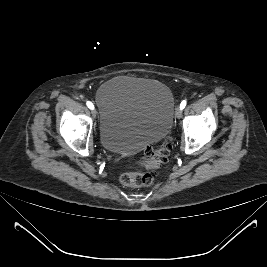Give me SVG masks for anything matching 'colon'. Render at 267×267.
<instances>
[{
	"instance_id": "colon-1",
	"label": "colon",
	"mask_w": 267,
	"mask_h": 267,
	"mask_svg": "<svg viewBox=\"0 0 267 267\" xmlns=\"http://www.w3.org/2000/svg\"><path fill=\"white\" fill-rule=\"evenodd\" d=\"M170 149L171 144L168 140L157 147L146 148L143 154L130 165L132 168L144 169L145 171L131 170L124 172L120 176L121 183L129 187L150 185L154 180V171L167 164Z\"/></svg>"
}]
</instances>
